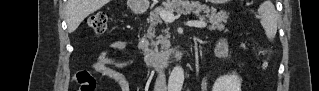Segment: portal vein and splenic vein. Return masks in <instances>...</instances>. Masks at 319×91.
<instances>
[{
  "mask_svg": "<svg viewBox=\"0 0 319 91\" xmlns=\"http://www.w3.org/2000/svg\"><path fill=\"white\" fill-rule=\"evenodd\" d=\"M159 15L162 18V20H164L165 22H168V23H171L176 19V17L174 16V14L172 12L165 11V10H160ZM186 25L197 27V28L206 27V23H204L202 21H188L186 23Z\"/></svg>",
  "mask_w": 319,
  "mask_h": 91,
  "instance_id": "18ae733b",
  "label": "portal vein and splenic vein"
}]
</instances>
